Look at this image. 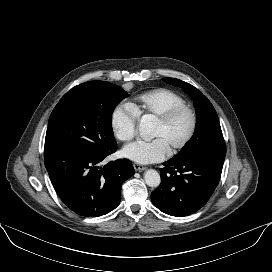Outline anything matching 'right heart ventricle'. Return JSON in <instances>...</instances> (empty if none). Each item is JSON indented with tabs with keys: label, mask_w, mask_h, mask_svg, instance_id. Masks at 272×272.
Wrapping results in <instances>:
<instances>
[{
	"label": "right heart ventricle",
	"mask_w": 272,
	"mask_h": 272,
	"mask_svg": "<svg viewBox=\"0 0 272 272\" xmlns=\"http://www.w3.org/2000/svg\"><path fill=\"white\" fill-rule=\"evenodd\" d=\"M185 104L184 99L166 88H156L140 94L130 104L137 117L156 118L169 108Z\"/></svg>",
	"instance_id": "1"
}]
</instances>
